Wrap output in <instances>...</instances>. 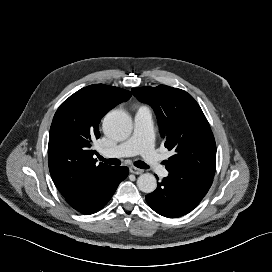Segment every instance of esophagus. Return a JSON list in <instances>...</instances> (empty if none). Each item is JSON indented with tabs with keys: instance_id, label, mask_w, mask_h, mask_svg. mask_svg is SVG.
<instances>
[{
	"instance_id": "34e87169",
	"label": "esophagus",
	"mask_w": 272,
	"mask_h": 272,
	"mask_svg": "<svg viewBox=\"0 0 272 272\" xmlns=\"http://www.w3.org/2000/svg\"><path fill=\"white\" fill-rule=\"evenodd\" d=\"M130 172L133 173V174H142L143 173V170L142 169H139V168H136L134 166H131L130 167Z\"/></svg>"
}]
</instances>
